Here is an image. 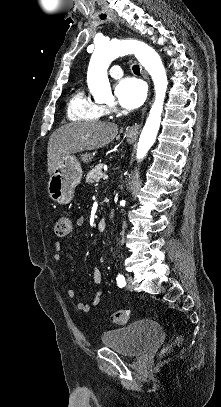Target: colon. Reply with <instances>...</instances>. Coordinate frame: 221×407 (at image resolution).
Listing matches in <instances>:
<instances>
[{
  "label": "colon",
  "mask_w": 221,
  "mask_h": 407,
  "mask_svg": "<svg viewBox=\"0 0 221 407\" xmlns=\"http://www.w3.org/2000/svg\"><path fill=\"white\" fill-rule=\"evenodd\" d=\"M72 230V222L69 216L61 215L55 225V232L57 236L64 237L71 233ZM111 320L113 323L119 326H124L128 323L129 320V312L127 310H120L116 311L112 314ZM181 340V336H178L174 343H177Z\"/></svg>",
  "instance_id": "5ec220e1"
}]
</instances>
